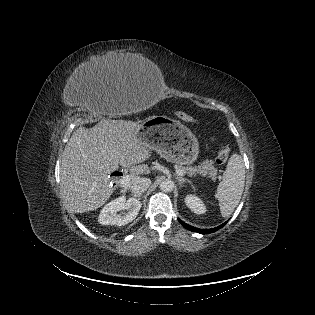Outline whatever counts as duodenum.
I'll return each instance as SVG.
<instances>
[{
  "label": "duodenum",
  "mask_w": 315,
  "mask_h": 315,
  "mask_svg": "<svg viewBox=\"0 0 315 315\" xmlns=\"http://www.w3.org/2000/svg\"><path fill=\"white\" fill-rule=\"evenodd\" d=\"M113 178L115 179H120L121 177H123V173L121 171H115L113 174H112Z\"/></svg>",
  "instance_id": "obj_1"
}]
</instances>
